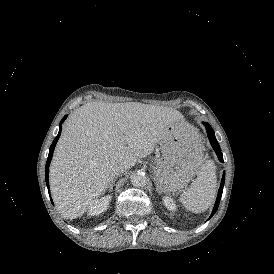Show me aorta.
<instances>
[{
	"label": "aorta",
	"mask_w": 274,
	"mask_h": 274,
	"mask_svg": "<svg viewBox=\"0 0 274 274\" xmlns=\"http://www.w3.org/2000/svg\"><path fill=\"white\" fill-rule=\"evenodd\" d=\"M131 183L135 187H143L147 183V178L141 173H134L131 177Z\"/></svg>",
	"instance_id": "aorta-1"
}]
</instances>
